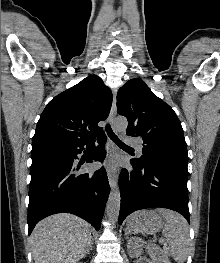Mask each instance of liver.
I'll list each match as a JSON object with an SVG mask.
<instances>
[{
    "mask_svg": "<svg viewBox=\"0 0 220 263\" xmlns=\"http://www.w3.org/2000/svg\"><path fill=\"white\" fill-rule=\"evenodd\" d=\"M90 228L86 221L68 213L43 219L30 237L35 263H77L92 240Z\"/></svg>",
    "mask_w": 220,
    "mask_h": 263,
    "instance_id": "6515ba94",
    "label": "liver"
}]
</instances>
